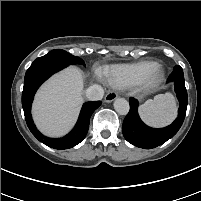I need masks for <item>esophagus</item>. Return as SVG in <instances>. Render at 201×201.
<instances>
[{
    "instance_id": "esophagus-1",
    "label": "esophagus",
    "mask_w": 201,
    "mask_h": 201,
    "mask_svg": "<svg viewBox=\"0 0 201 201\" xmlns=\"http://www.w3.org/2000/svg\"><path fill=\"white\" fill-rule=\"evenodd\" d=\"M118 96V93L115 91H110L106 94L104 101L107 103H110L112 101H114Z\"/></svg>"
}]
</instances>
